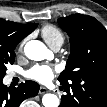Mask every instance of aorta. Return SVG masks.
Here are the masks:
<instances>
[{"instance_id": "obj_1", "label": "aorta", "mask_w": 107, "mask_h": 107, "mask_svg": "<svg viewBox=\"0 0 107 107\" xmlns=\"http://www.w3.org/2000/svg\"><path fill=\"white\" fill-rule=\"evenodd\" d=\"M24 52L27 58L34 61H41L46 58L48 49L41 41L31 40L26 43ZM42 103L45 107H58L60 101L55 94L48 93L43 96Z\"/></svg>"}]
</instances>
